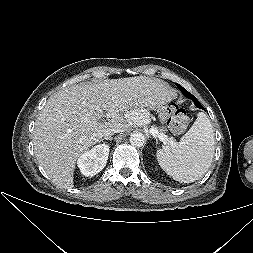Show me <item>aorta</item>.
Here are the masks:
<instances>
[{
    "label": "aorta",
    "mask_w": 253,
    "mask_h": 253,
    "mask_svg": "<svg viewBox=\"0 0 253 253\" xmlns=\"http://www.w3.org/2000/svg\"><path fill=\"white\" fill-rule=\"evenodd\" d=\"M130 143L134 147H142L145 143V137L142 133H133L130 136Z\"/></svg>",
    "instance_id": "obj_1"
}]
</instances>
